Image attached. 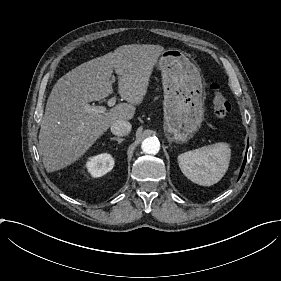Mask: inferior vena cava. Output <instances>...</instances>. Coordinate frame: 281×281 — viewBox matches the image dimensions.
<instances>
[{
    "label": "inferior vena cava",
    "mask_w": 281,
    "mask_h": 281,
    "mask_svg": "<svg viewBox=\"0 0 281 281\" xmlns=\"http://www.w3.org/2000/svg\"><path fill=\"white\" fill-rule=\"evenodd\" d=\"M131 124L128 121H117L115 124L111 126V132L114 135L118 136H126L131 131Z\"/></svg>",
    "instance_id": "1"
}]
</instances>
